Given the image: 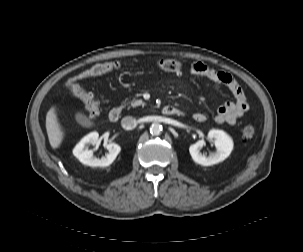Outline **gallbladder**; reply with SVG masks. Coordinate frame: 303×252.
I'll use <instances>...</instances> for the list:
<instances>
[{"label": "gallbladder", "instance_id": "obj_1", "mask_svg": "<svg viewBox=\"0 0 303 252\" xmlns=\"http://www.w3.org/2000/svg\"><path fill=\"white\" fill-rule=\"evenodd\" d=\"M75 120L82 126H86L90 123L88 117L82 112L75 113Z\"/></svg>", "mask_w": 303, "mask_h": 252}]
</instances>
